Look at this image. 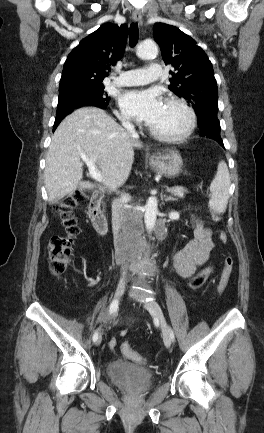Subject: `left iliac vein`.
Masks as SVG:
<instances>
[{
    "instance_id": "4c4485c4",
    "label": "left iliac vein",
    "mask_w": 264,
    "mask_h": 433,
    "mask_svg": "<svg viewBox=\"0 0 264 433\" xmlns=\"http://www.w3.org/2000/svg\"><path fill=\"white\" fill-rule=\"evenodd\" d=\"M142 304L154 316V318H156L159 321L162 329L164 344L167 348H170L172 342L171 334L167 326L161 307L154 300L144 301L142 302Z\"/></svg>"
}]
</instances>
